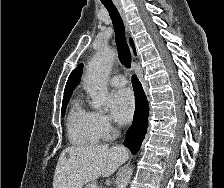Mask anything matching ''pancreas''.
<instances>
[{"label": "pancreas", "instance_id": "cf45deb5", "mask_svg": "<svg viewBox=\"0 0 224 188\" xmlns=\"http://www.w3.org/2000/svg\"><path fill=\"white\" fill-rule=\"evenodd\" d=\"M92 185H95V183H94V182L88 183V184L85 186V188H91Z\"/></svg>", "mask_w": 224, "mask_h": 188}]
</instances>
